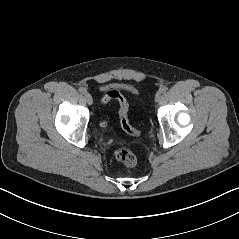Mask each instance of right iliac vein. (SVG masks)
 <instances>
[{
    "label": "right iliac vein",
    "mask_w": 239,
    "mask_h": 239,
    "mask_svg": "<svg viewBox=\"0 0 239 239\" xmlns=\"http://www.w3.org/2000/svg\"><path fill=\"white\" fill-rule=\"evenodd\" d=\"M85 100H86V102L89 104V105H92V103H93V98H92V96L89 94V93H85Z\"/></svg>",
    "instance_id": "obj_1"
}]
</instances>
